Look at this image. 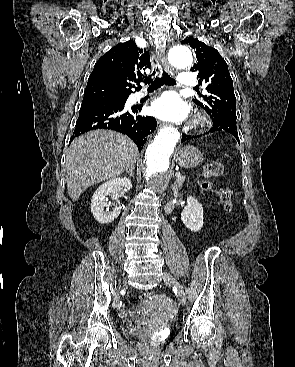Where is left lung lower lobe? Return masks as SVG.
Masks as SVG:
<instances>
[{"mask_svg":"<svg viewBox=\"0 0 295 367\" xmlns=\"http://www.w3.org/2000/svg\"><path fill=\"white\" fill-rule=\"evenodd\" d=\"M216 131H222V132L230 133L240 143L239 137H238V132H237V127H236V121L234 119L226 118V119H222V120L213 121V125L210 128L209 132H216ZM193 137H197V135H192L191 136V135L183 134L182 135V142L186 141L190 138H193Z\"/></svg>","mask_w":295,"mask_h":367,"instance_id":"0a47b994","label":"left lung lower lobe"}]
</instances>
